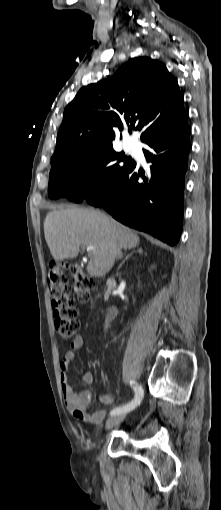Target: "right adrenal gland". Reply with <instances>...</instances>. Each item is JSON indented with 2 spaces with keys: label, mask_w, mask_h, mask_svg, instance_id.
I'll use <instances>...</instances> for the list:
<instances>
[{
  "label": "right adrenal gland",
  "mask_w": 221,
  "mask_h": 510,
  "mask_svg": "<svg viewBox=\"0 0 221 510\" xmlns=\"http://www.w3.org/2000/svg\"><path fill=\"white\" fill-rule=\"evenodd\" d=\"M133 253H139V254H142V253H143V251H142V249H141V248H139V249H137L136 251H133V252H131L130 254H127V255L125 256L124 260L121 262V264H120V266H119V267H121V266L125 263V261H127V260L129 259V257H131V256L133 255Z\"/></svg>",
  "instance_id": "right-adrenal-gland-1"
}]
</instances>
